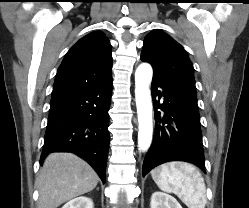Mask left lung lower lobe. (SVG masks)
<instances>
[{"label": "left lung lower lobe", "mask_w": 249, "mask_h": 208, "mask_svg": "<svg viewBox=\"0 0 249 208\" xmlns=\"http://www.w3.org/2000/svg\"><path fill=\"white\" fill-rule=\"evenodd\" d=\"M151 91L156 128L143 162L142 175L169 161L190 162L205 172L196 94L157 75H153Z\"/></svg>", "instance_id": "1"}]
</instances>
